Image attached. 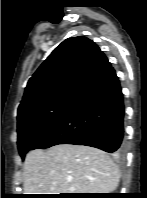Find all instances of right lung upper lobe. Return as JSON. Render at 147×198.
<instances>
[{"mask_svg":"<svg viewBox=\"0 0 147 198\" xmlns=\"http://www.w3.org/2000/svg\"><path fill=\"white\" fill-rule=\"evenodd\" d=\"M111 68L100 48L79 36L63 41L28 81L18 118L43 104L76 101Z\"/></svg>","mask_w":147,"mask_h":198,"instance_id":"cb5924a9","label":"right lung upper lobe"}]
</instances>
